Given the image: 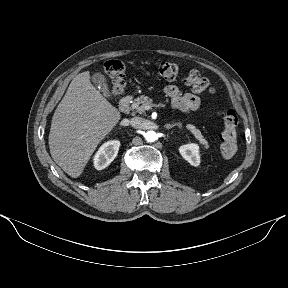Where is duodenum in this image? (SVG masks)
<instances>
[{
  "instance_id": "410a0bca",
  "label": "duodenum",
  "mask_w": 288,
  "mask_h": 288,
  "mask_svg": "<svg viewBox=\"0 0 288 288\" xmlns=\"http://www.w3.org/2000/svg\"><path fill=\"white\" fill-rule=\"evenodd\" d=\"M130 101L131 98L129 96H125L121 99L119 103V109L122 113H128L130 109Z\"/></svg>"
}]
</instances>
